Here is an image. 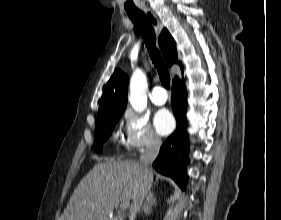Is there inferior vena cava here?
<instances>
[{
    "label": "inferior vena cava",
    "mask_w": 281,
    "mask_h": 220,
    "mask_svg": "<svg viewBox=\"0 0 281 220\" xmlns=\"http://www.w3.org/2000/svg\"><path fill=\"white\" fill-rule=\"evenodd\" d=\"M160 146L161 142L159 139H151L146 145L145 150L140 157V165L144 170V178L137 194L133 198V203L131 205L129 215L130 220H135L136 214L140 211V207L144 199L148 197V192L152 185L153 179L151 165L159 153Z\"/></svg>",
    "instance_id": "602c4592"
}]
</instances>
